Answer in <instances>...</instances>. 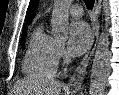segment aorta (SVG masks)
Returning <instances> with one entry per match:
<instances>
[{
  "instance_id": "1",
  "label": "aorta",
  "mask_w": 119,
  "mask_h": 95,
  "mask_svg": "<svg viewBox=\"0 0 119 95\" xmlns=\"http://www.w3.org/2000/svg\"><path fill=\"white\" fill-rule=\"evenodd\" d=\"M72 0H54L52 10V32L56 38L66 39L69 28V7ZM109 66V35L103 32L95 51L89 95H104Z\"/></svg>"
}]
</instances>
